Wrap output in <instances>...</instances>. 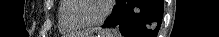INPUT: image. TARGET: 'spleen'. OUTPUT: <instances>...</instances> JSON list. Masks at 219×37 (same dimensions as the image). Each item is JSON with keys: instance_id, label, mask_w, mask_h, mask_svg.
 I'll return each instance as SVG.
<instances>
[{"instance_id": "3e777b00", "label": "spleen", "mask_w": 219, "mask_h": 37, "mask_svg": "<svg viewBox=\"0 0 219 37\" xmlns=\"http://www.w3.org/2000/svg\"><path fill=\"white\" fill-rule=\"evenodd\" d=\"M114 35H117L116 37H119V33L116 30H114Z\"/></svg>"}]
</instances>
